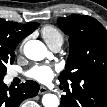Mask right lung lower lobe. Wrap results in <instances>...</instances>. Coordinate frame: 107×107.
<instances>
[{"label": "right lung lower lobe", "instance_id": "98d812e1", "mask_svg": "<svg viewBox=\"0 0 107 107\" xmlns=\"http://www.w3.org/2000/svg\"><path fill=\"white\" fill-rule=\"evenodd\" d=\"M39 91V84L35 81H27L17 88H7L0 81V107H19L20 103L29 97H34Z\"/></svg>", "mask_w": 107, "mask_h": 107}]
</instances>
